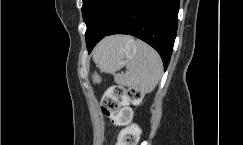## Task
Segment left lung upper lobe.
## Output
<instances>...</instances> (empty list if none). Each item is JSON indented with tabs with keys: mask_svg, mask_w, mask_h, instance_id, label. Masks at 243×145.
<instances>
[{
	"mask_svg": "<svg viewBox=\"0 0 243 145\" xmlns=\"http://www.w3.org/2000/svg\"><path fill=\"white\" fill-rule=\"evenodd\" d=\"M126 0H83L82 13L86 25L98 22L107 26L120 13Z\"/></svg>",
	"mask_w": 243,
	"mask_h": 145,
	"instance_id": "obj_1",
	"label": "left lung upper lobe"
}]
</instances>
